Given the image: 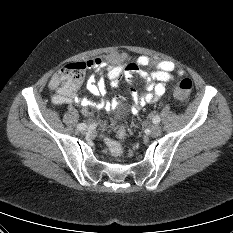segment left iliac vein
<instances>
[{
	"mask_svg": "<svg viewBox=\"0 0 233 233\" xmlns=\"http://www.w3.org/2000/svg\"><path fill=\"white\" fill-rule=\"evenodd\" d=\"M161 133V127L158 124H154L150 127V135L151 136H158Z\"/></svg>",
	"mask_w": 233,
	"mask_h": 233,
	"instance_id": "4c4485c4",
	"label": "left iliac vein"
}]
</instances>
